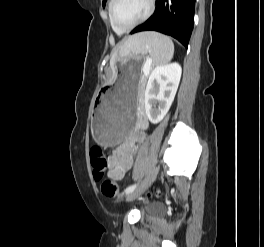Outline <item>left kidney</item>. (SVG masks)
I'll use <instances>...</instances> for the list:
<instances>
[{"instance_id": "left-kidney-1", "label": "left kidney", "mask_w": 264, "mask_h": 247, "mask_svg": "<svg viewBox=\"0 0 264 247\" xmlns=\"http://www.w3.org/2000/svg\"><path fill=\"white\" fill-rule=\"evenodd\" d=\"M181 73L182 69L178 63L159 65L151 72L144 95L146 115L151 123H159L169 111Z\"/></svg>"}]
</instances>
